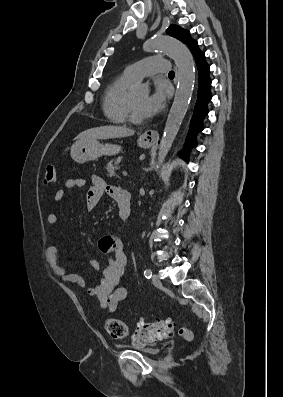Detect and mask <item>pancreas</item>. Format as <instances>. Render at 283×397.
Returning a JSON list of instances; mask_svg holds the SVG:
<instances>
[{"label":"pancreas","mask_w":283,"mask_h":397,"mask_svg":"<svg viewBox=\"0 0 283 397\" xmlns=\"http://www.w3.org/2000/svg\"><path fill=\"white\" fill-rule=\"evenodd\" d=\"M119 169V161L118 160H111L107 166H106V170L109 173L108 176L109 177H113L116 176L118 177L116 171Z\"/></svg>","instance_id":"pancreas-1"}]
</instances>
